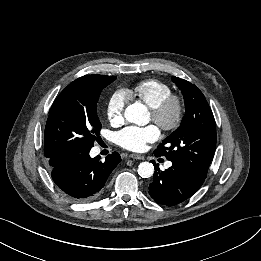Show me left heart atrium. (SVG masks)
<instances>
[{
	"mask_svg": "<svg viewBox=\"0 0 261 261\" xmlns=\"http://www.w3.org/2000/svg\"><path fill=\"white\" fill-rule=\"evenodd\" d=\"M159 138L160 130L155 125L128 126L116 135L119 146L134 152L143 151L148 143L155 142Z\"/></svg>",
	"mask_w": 261,
	"mask_h": 261,
	"instance_id": "39dd6f15",
	"label": "left heart atrium"
}]
</instances>
